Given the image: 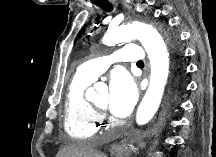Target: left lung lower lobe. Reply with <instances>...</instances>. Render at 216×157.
I'll return each mask as SVG.
<instances>
[{"mask_svg": "<svg viewBox=\"0 0 216 157\" xmlns=\"http://www.w3.org/2000/svg\"><path fill=\"white\" fill-rule=\"evenodd\" d=\"M174 60H175V83H174V91L176 93L180 92L183 87H184V81H183V74H184V66H183V63H182V69L181 67L179 66V64L177 63V59L176 57L174 56Z\"/></svg>", "mask_w": 216, "mask_h": 157, "instance_id": "left-lung-lower-lobe-1", "label": "left lung lower lobe"}]
</instances>
